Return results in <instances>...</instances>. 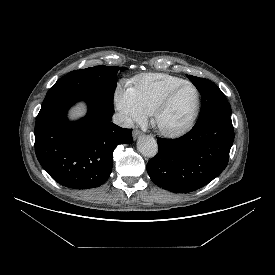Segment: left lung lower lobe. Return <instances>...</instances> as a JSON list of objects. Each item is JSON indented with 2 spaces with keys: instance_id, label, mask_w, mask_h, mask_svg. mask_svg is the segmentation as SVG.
I'll list each match as a JSON object with an SVG mask.
<instances>
[{
  "instance_id": "0a47b994",
  "label": "left lung lower lobe",
  "mask_w": 275,
  "mask_h": 275,
  "mask_svg": "<svg viewBox=\"0 0 275 275\" xmlns=\"http://www.w3.org/2000/svg\"><path fill=\"white\" fill-rule=\"evenodd\" d=\"M233 140L230 117L198 122L180 138H157L158 153L147 172L157 186L171 192L195 191L226 168Z\"/></svg>"
}]
</instances>
